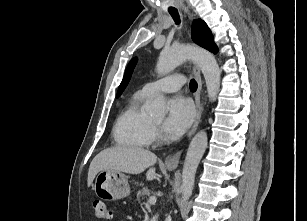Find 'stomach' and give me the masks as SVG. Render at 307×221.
I'll use <instances>...</instances> for the list:
<instances>
[{"label":"stomach","instance_id":"stomach-1","mask_svg":"<svg viewBox=\"0 0 307 221\" xmlns=\"http://www.w3.org/2000/svg\"><path fill=\"white\" fill-rule=\"evenodd\" d=\"M169 170H171L169 168ZM93 189L104 200H117L129 195L130 187L125 175L119 171L104 170L97 174Z\"/></svg>","mask_w":307,"mask_h":221}]
</instances>
